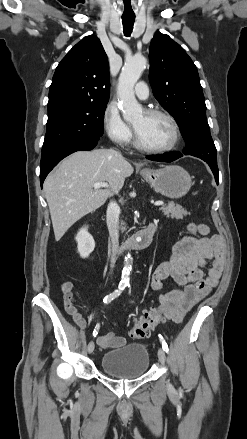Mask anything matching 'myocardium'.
<instances>
[{"mask_svg": "<svg viewBox=\"0 0 247 439\" xmlns=\"http://www.w3.org/2000/svg\"><path fill=\"white\" fill-rule=\"evenodd\" d=\"M144 113L147 116H162V117L166 118L172 127L173 138H172V141L170 142V144H168L167 146L159 147V148L149 147V146H146L141 141L137 130L134 128V144H135V146L138 149H140L141 151H144L147 153H155V154L166 153V152H170V151L174 150L178 146L180 139H181L180 128H179V125H178L176 119L174 118V116L172 114H170L169 112H167L166 110L158 109V108L147 109Z\"/></svg>", "mask_w": 247, "mask_h": 439, "instance_id": "1", "label": "myocardium"}]
</instances>
